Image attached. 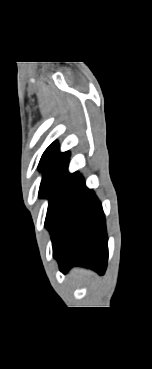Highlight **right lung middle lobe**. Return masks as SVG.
<instances>
[{"instance_id":"1","label":"right lung middle lobe","mask_w":152,"mask_h":369,"mask_svg":"<svg viewBox=\"0 0 152 369\" xmlns=\"http://www.w3.org/2000/svg\"><path fill=\"white\" fill-rule=\"evenodd\" d=\"M68 165H55L40 168L43 178L40 185L39 196L49 199V207L45 226L51 230L60 204L72 186L77 173L69 174Z\"/></svg>"}]
</instances>
